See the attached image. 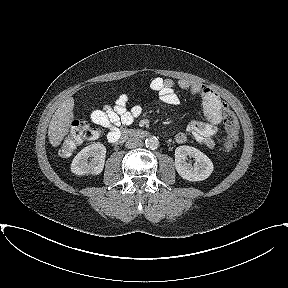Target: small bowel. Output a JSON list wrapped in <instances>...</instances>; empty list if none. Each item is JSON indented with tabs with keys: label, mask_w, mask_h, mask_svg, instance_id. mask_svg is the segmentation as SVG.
I'll return each mask as SVG.
<instances>
[{
	"label": "small bowel",
	"mask_w": 288,
	"mask_h": 288,
	"mask_svg": "<svg viewBox=\"0 0 288 288\" xmlns=\"http://www.w3.org/2000/svg\"><path fill=\"white\" fill-rule=\"evenodd\" d=\"M176 87L202 100L206 121H190L186 132H179L175 135V141L184 144L187 141V133H190L199 143L213 149L215 146L213 138L222 121L223 103L221 99L208 86L187 79L175 82L172 79L156 77L150 83V88L157 92L160 100L172 106L180 103L175 90ZM128 101L129 97L126 94H121L112 106L107 105L102 109L94 110L90 115L93 123L107 129V139L111 143L119 139L121 132L125 129L123 126L131 125L143 112V107L139 103L128 108Z\"/></svg>",
	"instance_id": "obj_1"
}]
</instances>
